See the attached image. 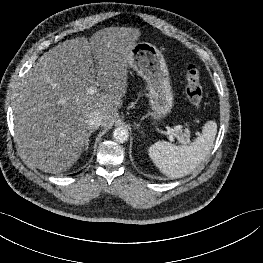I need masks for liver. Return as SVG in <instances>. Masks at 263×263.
<instances>
[{
	"label": "liver",
	"mask_w": 263,
	"mask_h": 263,
	"mask_svg": "<svg viewBox=\"0 0 263 263\" xmlns=\"http://www.w3.org/2000/svg\"><path fill=\"white\" fill-rule=\"evenodd\" d=\"M140 35L136 28H104L38 59L13 99L15 139L25 159L44 172L67 171L86 146L88 114L101 113L104 127L113 124L127 92L129 52ZM93 85L104 92L89 94Z\"/></svg>",
	"instance_id": "1"
}]
</instances>
